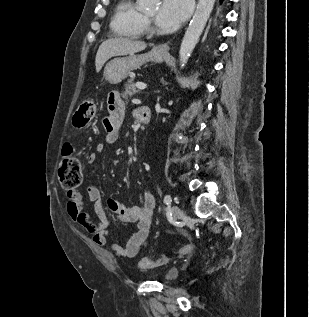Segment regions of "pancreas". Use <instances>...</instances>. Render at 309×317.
Wrapping results in <instances>:
<instances>
[{
  "label": "pancreas",
  "instance_id": "1",
  "mask_svg": "<svg viewBox=\"0 0 309 317\" xmlns=\"http://www.w3.org/2000/svg\"><path fill=\"white\" fill-rule=\"evenodd\" d=\"M139 90L136 88V84L134 82V78H130L124 86V91L122 92V97L127 98L128 96H132L138 93Z\"/></svg>",
  "mask_w": 309,
  "mask_h": 317
}]
</instances>
